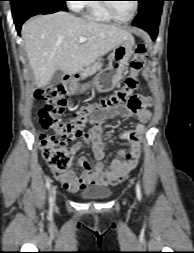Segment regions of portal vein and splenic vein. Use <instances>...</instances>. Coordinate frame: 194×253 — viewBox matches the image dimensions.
<instances>
[{
    "label": "portal vein and splenic vein",
    "mask_w": 194,
    "mask_h": 253,
    "mask_svg": "<svg viewBox=\"0 0 194 253\" xmlns=\"http://www.w3.org/2000/svg\"><path fill=\"white\" fill-rule=\"evenodd\" d=\"M79 41H80V42H85V41H86V38L81 37V38H79Z\"/></svg>",
    "instance_id": "portal-vein-and-splenic-vein-1"
}]
</instances>
